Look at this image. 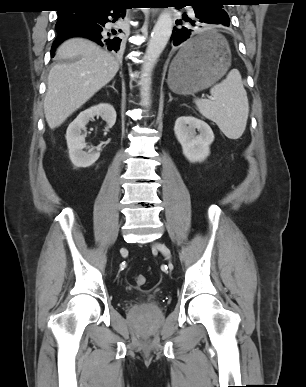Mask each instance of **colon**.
<instances>
[{
  "instance_id": "obj_1",
  "label": "colon",
  "mask_w": 306,
  "mask_h": 387,
  "mask_svg": "<svg viewBox=\"0 0 306 387\" xmlns=\"http://www.w3.org/2000/svg\"><path fill=\"white\" fill-rule=\"evenodd\" d=\"M134 283L137 287H142L146 283V278L144 275H136L134 277Z\"/></svg>"
}]
</instances>
